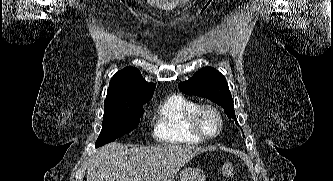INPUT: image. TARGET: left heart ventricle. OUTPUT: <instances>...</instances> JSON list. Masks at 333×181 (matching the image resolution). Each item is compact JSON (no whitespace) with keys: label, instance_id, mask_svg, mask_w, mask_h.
<instances>
[{"label":"left heart ventricle","instance_id":"1","mask_svg":"<svg viewBox=\"0 0 333 181\" xmlns=\"http://www.w3.org/2000/svg\"><path fill=\"white\" fill-rule=\"evenodd\" d=\"M201 126L206 133L214 134L217 131L218 122L213 114L207 112L201 118Z\"/></svg>","mask_w":333,"mask_h":181}]
</instances>
